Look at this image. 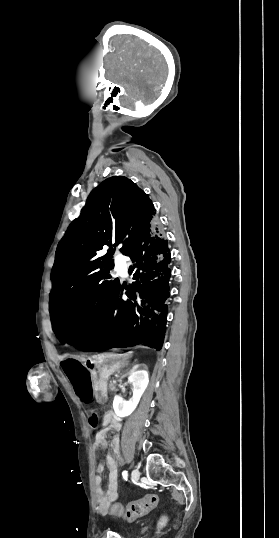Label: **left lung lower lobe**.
Segmentation results:
<instances>
[{"label": "left lung lower lobe", "mask_w": 279, "mask_h": 538, "mask_svg": "<svg viewBox=\"0 0 279 538\" xmlns=\"http://www.w3.org/2000/svg\"><path fill=\"white\" fill-rule=\"evenodd\" d=\"M134 262L129 269L135 282L116 292L112 307L100 327L91 335L66 332L59 338L83 351L146 345L160 350L167 320L170 253L159 229L150 226L127 254ZM123 288L130 298H120Z\"/></svg>", "instance_id": "obj_1"}]
</instances>
